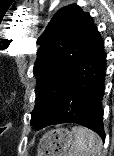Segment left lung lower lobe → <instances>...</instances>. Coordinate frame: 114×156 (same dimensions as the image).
Returning <instances> with one entry per match:
<instances>
[{
  "instance_id": "left-lung-lower-lobe-1",
  "label": "left lung lower lobe",
  "mask_w": 114,
  "mask_h": 156,
  "mask_svg": "<svg viewBox=\"0 0 114 156\" xmlns=\"http://www.w3.org/2000/svg\"><path fill=\"white\" fill-rule=\"evenodd\" d=\"M105 69L104 42L95 27L67 83L59 110L44 127L68 122L77 123L97 132L104 140L101 99Z\"/></svg>"
}]
</instances>
